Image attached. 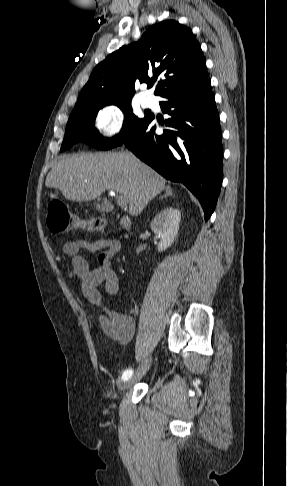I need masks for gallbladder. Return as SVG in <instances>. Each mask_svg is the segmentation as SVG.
I'll return each mask as SVG.
<instances>
[{
  "label": "gallbladder",
  "instance_id": "bac80fb5",
  "mask_svg": "<svg viewBox=\"0 0 287 486\" xmlns=\"http://www.w3.org/2000/svg\"><path fill=\"white\" fill-rule=\"evenodd\" d=\"M112 209L111 205H109L106 201L102 203L96 204V210L102 213L109 212Z\"/></svg>",
  "mask_w": 287,
  "mask_h": 486
}]
</instances>
